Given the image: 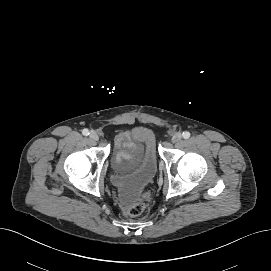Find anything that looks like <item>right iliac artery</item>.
<instances>
[{
  "instance_id": "right-iliac-artery-1",
  "label": "right iliac artery",
  "mask_w": 271,
  "mask_h": 271,
  "mask_svg": "<svg viewBox=\"0 0 271 271\" xmlns=\"http://www.w3.org/2000/svg\"><path fill=\"white\" fill-rule=\"evenodd\" d=\"M82 134L85 136L89 135L88 129H83Z\"/></svg>"
}]
</instances>
